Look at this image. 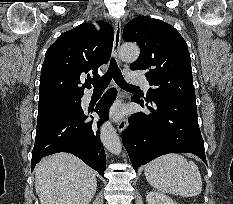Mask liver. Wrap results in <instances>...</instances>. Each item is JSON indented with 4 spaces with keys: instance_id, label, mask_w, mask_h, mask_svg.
Wrapping results in <instances>:
<instances>
[{
    "instance_id": "liver-1",
    "label": "liver",
    "mask_w": 233,
    "mask_h": 204,
    "mask_svg": "<svg viewBox=\"0 0 233 204\" xmlns=\"http://www.w3.org/2000/svg\"><path fill=\"white\" fill-rule=\"evenodd\" d=\"M96 188L95 172L72 154L56 153L36 165L40 204H89Z\"/></svg>"
}]
</instances>
